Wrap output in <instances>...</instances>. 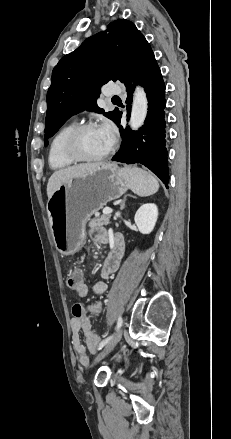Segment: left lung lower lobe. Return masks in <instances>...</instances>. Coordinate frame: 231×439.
<instances>
[{
	"instance_id": "obj_1",
	"label": "left lung lower lobe",
	"mask_w": 231,
	"mask_h": 439,
	"mask_svg": "<svg viewBox=\"0 0 231 439\" xmlns=\"http://www.w3.org/2000/svg\"><path fill=\"white\" fill-rule=\"evenodd\" d=\"M138 83L144 87L148 99V113L144 125L139 131H132L129 127L123 129L120 126L122 113L119 111L115 123L120 126L122 143L112 160L126 164H143L168 188L165 85L151 47L144 51L132 75L124 83L128 95L126 100L128 110ZM129 115L128 111L127 118Z\"/></svg>"
}]
</instances>
